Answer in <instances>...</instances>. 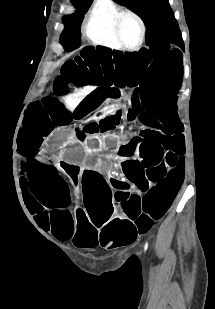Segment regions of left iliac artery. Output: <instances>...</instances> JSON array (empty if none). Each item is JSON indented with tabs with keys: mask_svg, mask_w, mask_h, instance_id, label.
<instances>
[{
	"mask_svg": "<svg viewBox=\"0 0 215 309\" xmlns=\"http://www.w3.org/2000/svg\"><path fill=\"white\" fill-rule=\"evenodd\" d=\"M147 247H148V243L146 242L144 249L147 250Z\"/></svg>",
	"mask_w": 215,
	"mask_h": 309,
	"instance_id": "44dca946",
	"label": "left iliac artery"
}]
</instances>
